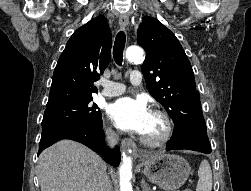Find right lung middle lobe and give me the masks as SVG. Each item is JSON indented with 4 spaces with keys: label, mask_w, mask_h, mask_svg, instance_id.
Instances as JSON below:
<instances>
[{
    "label": "right lung middle lobe",
    "mask_w": 251,
    "mask_h": 191,
    "mask_svg": "<svg viewBox=\"0 0 251 191\" xmlns=\"http://www.w3.org/2000/svg\"><path fill=\"white\" fill-rule=\"evenodd\" d=\"M92 98L61 103L46 107L42 120V133L67 123H83L96 126L102 123L101 112Z\"/></svg>",
    "instance_id": "dd1d6c3e"
}]
</instances>
